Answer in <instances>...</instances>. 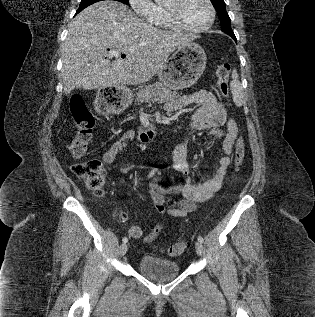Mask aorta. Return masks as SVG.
Instances as JSON below:
<instances>
[{
	"mask_svg": "<svg viewBox=\"0 0 315 317\" xmlns=\"http://www.w3.org/2000/svg\"><path fill=\"white\" fill-rule=\"evenodd\" d=\"M156 2H159L160 0H155Z\"/></svg>",
	"mask_w": 315,
	"mask_h": 317,
	"instance_id": "obj_1",
	"label": "aorta"
}]
</instances>
